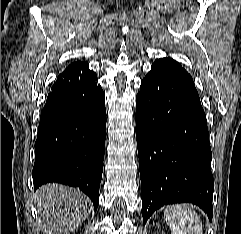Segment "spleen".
<instances>
[{"label": "spleen", "mask_w": 241, "mask_h": 234, "mask_svg": "<svg viewBox=\"0 0 241 234\" xmlns=\"http://www.w3.org/2000/svg\"><path fill=\"white\" fill-rule=\"evenodd\" d=\"M164 217L172 234H203L200 217L186 204L167 207Z\"/></svg>", "instance_id": "obj_1"}]
</instances>
